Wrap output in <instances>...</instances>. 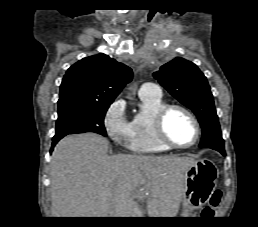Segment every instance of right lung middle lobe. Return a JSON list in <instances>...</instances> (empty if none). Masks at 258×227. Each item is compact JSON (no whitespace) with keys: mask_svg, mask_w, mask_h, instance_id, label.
Segmentation results:
<instances>
[{"mask_svg":"<svg viewBox=\"0 0 258 227\" xmlns=\"http://www.w3.org/2000/svg\"><path fill=\"white\" fill-rule=\"evenodd\" d=\"M110 104L76 97L59 99L56 135L94 132L106 136L104 117Z\"/></svg>","mask_w":258,"mask_h":227,"instance_id":"dd1d6c3e","label":"right lung middle lobe"}]
</instances>
